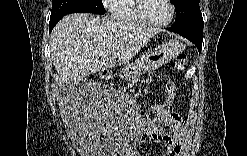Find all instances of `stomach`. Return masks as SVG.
I'll use <instances>...</instances> for the list:
<instances>
[{"mask_svg":"<svg viewBox=\"0 0 247 156\" xmlns=\"http://www.w3.org/2000/svg\"><path fill=\"white\" fill-rule=\"evenodd\" d=\"M184 49L185 45L181 41L169 40L155 50L145 53L135 63L128 65L123 70V76L130 79L138 66L145 71L158 69L176 58Z\"/></svg>","mask_w":247,"mask_h":156,"instance_id":"0dacf381","label":"stomach"}]
</instances>
